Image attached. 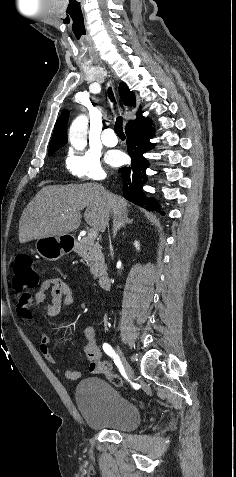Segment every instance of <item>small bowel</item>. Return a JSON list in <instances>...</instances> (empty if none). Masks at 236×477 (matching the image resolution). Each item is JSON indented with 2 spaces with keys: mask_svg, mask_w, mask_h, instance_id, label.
Listing matches in <instances>:
<instances>
[{
  "mask_svg": "<svg viewBox=\"0 0 236 477\" xmlns=\"http://www.w3.org/2000/svg\"><path fill=\"white\" fill-rule=\"evenodd\" d=\"M50 291L51 299L46 302V292ZM74 302V290L72 286L61 278L44 279L38 291L31 299L30 305L19 304L17 307L18 315L29 322H33L32 307L43 304L42 314L45 318L56 317L63 306L71 305ZM51 340L44 334H40V352L44 358L51 364L56 363V358L52 353ZM82 353L89 364V372L92 374H103L105 369L101 361V349L97 343L96 329L89 325L84 329V342L82 344ZM64 376L68 380H78L82 373L78 370L63 369Z\"/></svg>",
  "mask_w": 236,
  "mask_h": 477,
  "instance_id": "small-bowel-1",
  "label": "small bowel"
}]
</instances>
